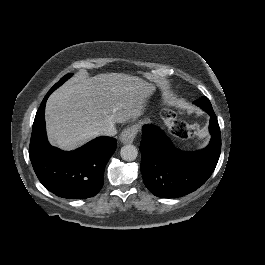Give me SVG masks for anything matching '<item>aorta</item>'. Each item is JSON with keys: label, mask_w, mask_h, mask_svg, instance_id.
Wrapping results in <instances>:
<instances>
[{"label": "aorta", "mask_w": 265, "mask_h": 265, "mask_svg": "<svg viewBox=\"0 0 265 265\" xmlns=\"http://www.w3.org/2000/svg\"><path fill=\"white\" fill-rule=\"evenodd\" d=\"M121 158L125 161H133L137 158V148L132 144L124 145L120 150Z\"/></svg>", "instance_id": "aorta-1"}]
</instances>
